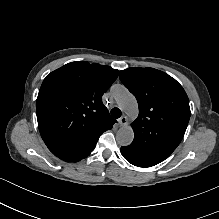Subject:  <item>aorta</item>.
<instances>
[{"label": "aorta", "instance_id": "762f6f07", "mask_svg": "<svg viewBox=\"0 0 219 219\" xmlns=\"http://www.w3.org/2000/svg\"><path fill=\"white\" fill-rule=\"evenodd\" d=\"M113 93L118 106L131 116H137L138 103L135 97L122 85H116L113 88ZM134 139V131L131 126L121 127L116 134V141L122 146H128Z\"/></svg>", "mask_w": 219, "mask_h": 219}]
</instances>
